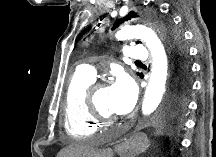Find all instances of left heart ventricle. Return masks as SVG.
Segmentation results:
<instances>
[{
	"mask_svg": "<svg viewBox=\"0 0 216 157\" xmlns=\"http://www.w3.org/2000/svg\"><path fill=\"white\" fill-rule=\"evenodd\" d=\"M95 102L99 108V110L107 115L115 117V115H118L114 113L109 105V88L104 87L97 91L95 95Z\"/></svg>",
	"mask_w": 216,
	"mask_h": 157,
	"instance_id": "obj_1",
	"label": "left heart ventricle"
}]
</instances>
